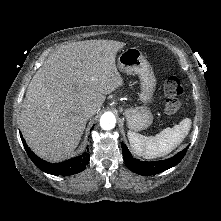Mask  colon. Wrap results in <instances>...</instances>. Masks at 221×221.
<instances>
[{
  "instance_id": "1",
  "label": "colon",
  "mask_w": 221,
  "mask_h": 221,
  "mask_svg": "<svg viewBox=\"0 0 221 221\" xmlns=\"http://www.w3.org/2000/svg\"><path fill=\"white\" fill-rule=\"evenodd\" d=\"M163 91L166 95L164 112L166 115H173L180 108L178 97L183 93V87L179 78L175 76L167 77L163 83Z\"/></svg>"
}]
</instances>
